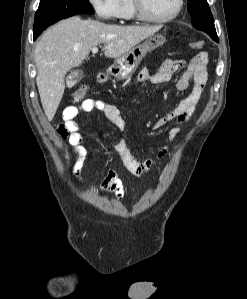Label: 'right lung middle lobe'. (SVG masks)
<instances>
[{"instance_id":"obj_1","label":"right lung middle lobe","mask_w":247,"mask_h":299,"mask_svg":"<svg viewBox=\"0 0 247 299\" xmlns=\"http://www.w3.org/2000/svg\"><path fill=\"white\" fill-rule=\"evenodd\" d=\"M82 13H94L89 0H40L35 14L33 34L40 35L57 21Z\"/></svg>"}]
</instances>
